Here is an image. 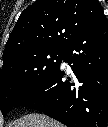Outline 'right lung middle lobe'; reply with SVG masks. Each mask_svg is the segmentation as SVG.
I'll return each instance as SVG.
<instances>
[{
    "instance_id": "right-lung-middle-lobe-1",
    "label": "right lung middle lobe",
    "mask_w": 108,
    "mask_h": 127,
    "mask_svg": "<svg viewBox=\"0 0 108 127\" xmlns=\"http://www.w3.org/2000/svg\"><path fill=\"white\" fill-rule=\"evenodd\" d=\"M64 50H50L14 57L0 72V109L5 116L60 66Z\"/></svg>"
}]
</instances>
